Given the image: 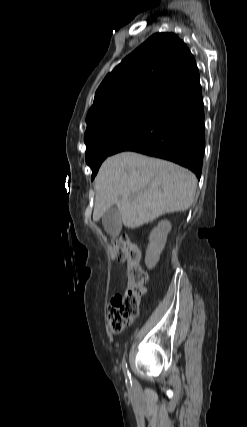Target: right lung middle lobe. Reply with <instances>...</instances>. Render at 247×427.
<instances>
[{
	"instance_id": "dd1d6c3e",
	"label": "right lung middle lobe",
	"mask_w": 247,
	"mask_h": 427,
	"mask_svg": "<svg viewBox=\"0 0 247 427\" xmlns=\"http://www.w3.org/2000/svg\"><path fill=\"white\" fill-rule=\"evenodd\" d=\"M156 106L127 107L94 120L84 135L87 146L86 162L92 169L93 180L103 160L135 132L155 111Z\"/></svg>"
}]
</instances>
